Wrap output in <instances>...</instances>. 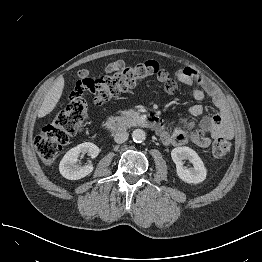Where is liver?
<instances>
[{"label": "liver", "instance_id": "1", "mask_svg": "<svg viewBox=\"0 0 262 262\" xmlns=\"http://www.w3.org/2000/svg\"><path fill=\"white\" fill-rule=\"evenodd\" d=\"M63 89L64 78L63 76H59L44 98V101L38 111L39 118L45 117L53 111L62 95Z\"/></svg>", "mask_w": 262, "mask_h": 262}]
</instances>
